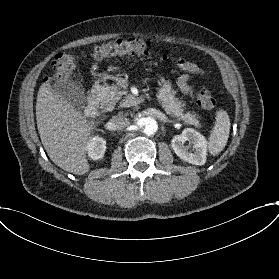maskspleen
Masks as SVG:
<instances>
[{
  "label": "spleen",
  "instance_id": "3e777b00",
  "mask_svg": "<svg viewBox=\"0 0 279 279\" xmlns=\"http://www.w3.org/2000/svg\"><path fill=\"white\" fill-rule=\"evenodd\" d=\"M230 133V119L226 111H218L213 131L210 134L208 150L213 156L219 154L227 144Z\"/></svg>",
  "mask_w": 279,
  "mask_h": 279
}]
</instances>
